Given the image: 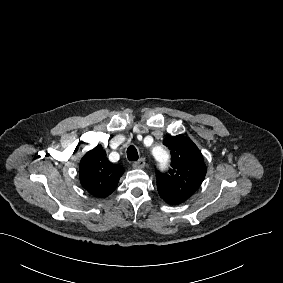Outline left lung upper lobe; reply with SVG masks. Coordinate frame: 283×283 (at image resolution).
I'll use <instances>...</instances> for the list:
<instances>
[{
    "label": "left lung upper lobe",
    "instance_id": "obj_1",
    "mask_svg": "<svg viewBox=\"0 0 283 283\" xmlns=\"http://www.w3.org/2000/svg\"><path fill=\"white\" fill-rule=\"evenodd\" d=\"M171 152V168L166 173L156 172L157 189L169 204H180L200 187L206 166L203 156L193 141L184 136L166 137L163 141Z\"/></svg>",
    "mask_w": 283,
    "mask_h": 283
}]
</instances>
